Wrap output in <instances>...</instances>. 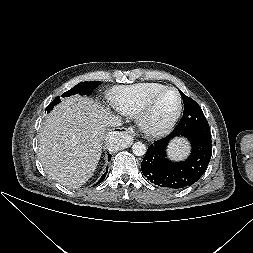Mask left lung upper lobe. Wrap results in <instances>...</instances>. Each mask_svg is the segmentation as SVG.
Here are the masks:
<instances>
[{
	"label": "left lung upper lobe",
	"mask_w": 253,
	"mask_h": 253,
	"mask_svg": "<svg viewBox=\"0 0 253 253\" xmlns=\"http://www.w3.org/2000/svg\"><path fill=\"white\" fill-rule=\"evenodd\" d=\"M184 102L183 116L176 126L175 133L180 135H196L211 140L209 124L200 106L190 97L180 92Z\"/></svg>",
	"instance_id": "obj_1"
}]
</instances>
